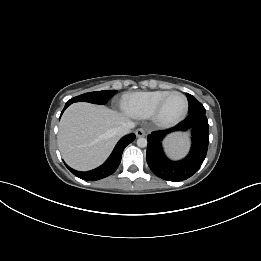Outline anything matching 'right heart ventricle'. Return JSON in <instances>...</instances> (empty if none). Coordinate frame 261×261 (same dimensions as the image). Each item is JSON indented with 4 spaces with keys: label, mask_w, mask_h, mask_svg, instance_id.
I'll use <instances>...</instances> for the list:
<instances>
[{
    "label": "right heart ventricle",
    "mask_w": 261,
    "mask_h": 261,
    "mask_svg": "<svg viewBox=\"0 0 261 261\" xmlns=\"http://www.w3.org/2000/svg\"><path fill=\"white\" fill-rule=\"evenodd\" d=\"M169 91L156 90L127 94L123 97L121 108L130 117L146 119L152 116L153 111Z\"/></svg>",
    "instance_id": "right-heart-ventricle-1"
}]
</instances>
